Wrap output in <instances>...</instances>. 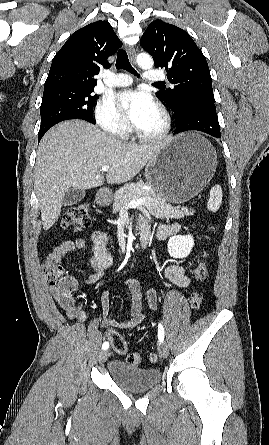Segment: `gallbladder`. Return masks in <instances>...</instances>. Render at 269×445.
<instances>
[{
	"label": "gallbladder",
	"instance_id": "bac80fb5",
	"mask_svg": "<svg viewBox=\"0 0 269 445\" xmlns=\"http://www.w3.org/2000/svg\"><path fill=\"white\" fill-rule=\"evenodd\" d=\"M85 190L83 189H77V188H70L63 198V205L64 206H71L74 204H77L80 202L84 196H85Z\"/></svg>",
	"mask_w": 269,
	"mask_h": 445
}]
</instances>
